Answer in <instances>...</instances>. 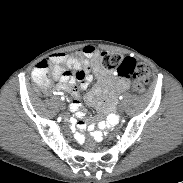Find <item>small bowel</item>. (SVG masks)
Instances as JSON below:
<instances>
[{"label": "small bowel", "instance_id": "c3829d8e", "mask_svg": "<svg viewBox=\"0 0 183 183\" xmlns=\"http://www.w3.org/2000/svg\"><path fill=\"white\" fill-rule=\"evenodd\" d=\"M86 60L83 63L74 62L71 57L65 53L53 54L48 58L52 65V75L58 80L57 89L59 91L68 92L72 96L69 108L74 111L78 117L84 116L83 106L80 101V91L87 89L93 80V74L98 78V84L94 86L92 91L85 97L90 104L98 106V98L102 92L109 95V105L112 106L115 95L124 92L129 88V81L125 78L111 77L100 67L99 52L94 46L88 45L83 49ZM106 113V110H102ZM120 118L112 115L107 121L92 123L88 126L91 132L92 140L100 144L104 141L105 136L101 132L112 126H117ZM68 131L76 137L79 143H83L85 137L83 131L86 129V123L80 121L77 123L76 118L69 117L66 120Z\"/></svg>", "mask_w": 183, "mask_h": 183}]
</instances>
